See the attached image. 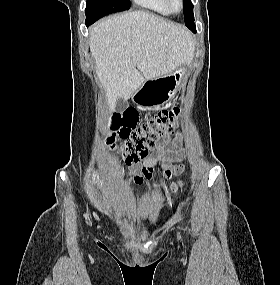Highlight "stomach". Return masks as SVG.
I'll list each match as a JSON object with an SVG mask.
<instances>
[{"instance_id": "1", "label": "stomach", "mask_w": 280, "mask_h": 285, "mask_svg": "<svg viewBox=\"0 0 280 285\" xmlns=\"http://www.w3.org/2000/svg\"><path fill=\"white\" fill-rule=\"evenodd\" d=\"M186 71V63L178 66L172 73L145 81L132 95L141 106H159L167 103L176 93Z\"/></svg>"}]
</instances>
